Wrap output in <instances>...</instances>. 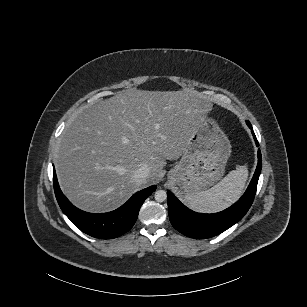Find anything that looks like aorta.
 I'll use <instances>...</instances> for the list:
<instances>
[{"label": "aorta", "instance_id": "aorta-1", "mask_svg": "<svg viewBox=\"0 0 307 307\" xmlns=\"http://www.w3.org/2000/svg\"><path fill=\"white\" fill-rule=\"evenodd\" d=\"M154 198L158 202H163L167 198V193L164 190H157L154 194Z\"/></svg>", "mask_w": 307, "mask_h": 307}]
</instances>
